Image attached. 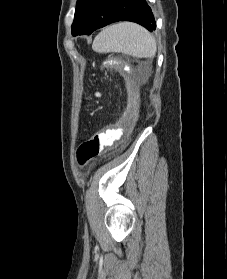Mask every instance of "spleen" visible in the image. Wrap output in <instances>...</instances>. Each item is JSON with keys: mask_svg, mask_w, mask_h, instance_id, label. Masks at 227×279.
I'll list each match as a JSON object with an SVG mask.
<instances>
[{"mask_svg": "<svg viewBox=\"0 0 227 279\" xmlns=\"http://www.w3.org/2000/svg\"><path fill=\"white\" fill-rule=\"evenodd\" d=\"M92 48L98 53L120 52L138 58L154 56V37L135 23L122 22L103 29L94 39Z\"/></svg>", "mask_w": 227, "mask_h": 279, "instance_id": "obj_1", "label": "spleen"}]
</instances>
